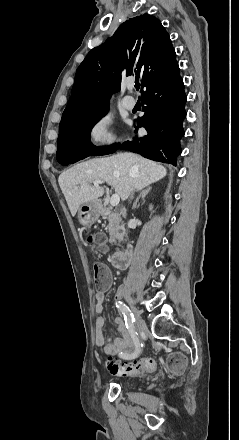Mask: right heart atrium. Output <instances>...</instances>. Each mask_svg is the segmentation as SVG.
I'll list each match as a JSON object with an SVG mask.
<instances>
[{
  "label": "right heart atrium",
  "instance_id": "d8ad5b80",
  "mask_svg": "<svg viewBox=\"0 0 239 440\" xmlns=\"http://www.w3.org/2000/svg\"><path fill=\"white\" fill-rule=\"evenodd\" d=\"M86 145L94 150L108 149L117 141L116 129L112 117L103 113L94 118L84 133Z\"/></svg>",
  "mask_w": 239,
  "mask_h": 440
}]
</instances>
